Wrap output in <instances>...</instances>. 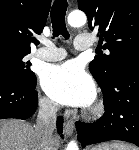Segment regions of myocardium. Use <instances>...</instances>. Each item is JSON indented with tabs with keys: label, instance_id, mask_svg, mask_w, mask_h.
Instances as JSON below:
<instances>
[{
	"label": "myocardium",
	"instance_id": "myocardium-1",
	"mask_svg": "<svg viewBox=\"0 0 139 150\" xmlns=\"http://www.w3.org/2000/svg\"><path fill=\"white\" fill-rule=\"evenodd\" d=\"M105 110L104 103L101 101L96 102L94 105H92L89 110L87 111L86 115L89 118H98L100 117Z\"/></svg>",
	"mask_w": 139,
	"mask_h": 150
}]
</instances>
